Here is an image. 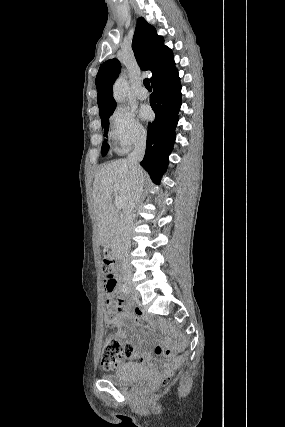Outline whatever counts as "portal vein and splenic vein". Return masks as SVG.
Segmentation results:
<instances>
[{"mask_svg":"<svg viewBox=\"0 0 285 427\" xmlns=\"http://www.w3.org/2000/svg\"><path fill=\"white\" fill-rule=\"evenodd\" d=\"M114 190L116 191V188H114ZM115 206L116 208L119 210L124 206V201L121 197H116L115 199Z\"/></svg>","mask_w":285,"mask_h":427,"instance_id":"18ae733b","label":"portal vein and splenic vein"}]
</instances>
